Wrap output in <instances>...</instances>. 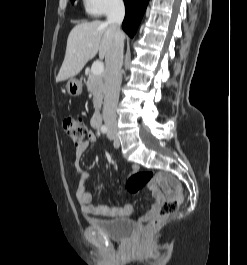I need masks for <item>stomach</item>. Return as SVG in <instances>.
Returning <instances> with one entry per match:
<instances>
[{"label":"stomach","mask_w":247,"mask_h":265,"mask_svg":"<svg viewBox=\"0 0 247 265\" xmlns=\"http://www.w3.org/2000/svg\"><path fill=\"white\" fill-rule=\"evenodd\" d=\"M82 86L81 80L71 77L66 84L67 92L72 97L79 96L82 93Z\"/></svg>","instance_id":"0dacf381"}]
</instances>
